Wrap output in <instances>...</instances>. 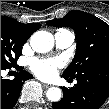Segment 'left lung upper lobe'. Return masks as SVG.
Here are the masks:
<instances>
[{"label":"left lung upper lobe","instance_id":"5c2ea615","mask_svg":"<svg viewBox=\"0 0 109 109\" xmlns=\"http://www.w3.org/2000/svg\"><path fill=\"white\" fill-rule=\"evenodd\" d=\"M47 24L67 26L76 32V54L63 76L73 78L94 66L109 67V25L103 20L83 11H70Z\"/></svg>","mask_w":109,"mask_h":109}]
</instances>
